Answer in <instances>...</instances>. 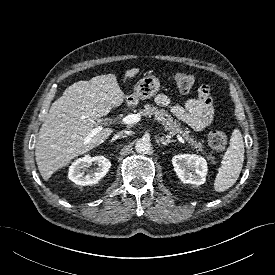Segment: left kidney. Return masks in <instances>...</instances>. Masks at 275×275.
<instances>
[{
	"mask_svg": "<svg viewBox=\"0 0 275 275\" xmlns=\"http://www.w3.org/2000/svg\"><path fill=\"white\" fill-rule=\"evenodd\" d=\"M174 170L184 184L202 185L206 181L207 162L195 154H180L172 158Z\"/></svg>",
	"mask_w": 275,
	"mask_h": 275,
	"instance_id": "1",
	"label": "left kidney"
}]
</instances>
